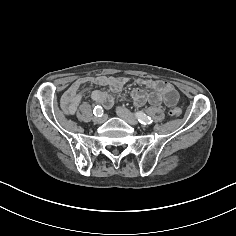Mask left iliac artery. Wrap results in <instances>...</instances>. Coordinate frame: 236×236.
<instances>
[{
	"instance_id": "left-iliac-artery-1",
	"label": "left iliac artery",
	"mask_w": 236,
	"mask_h": 236,
	"mask_svg": "<svg viewBox=\"0 0 236 236\" xmlns=\"http://www.w3.org/2000/svg\"><path fill=\"white\" fill-rule=\"evenodd\" d=\"M138 121L141 123V124H144V125H149V124H152L153 120L151 119V117L147 116L145 113L143 112H137L135 113Z\"/></svg>"
}]
</instances>
